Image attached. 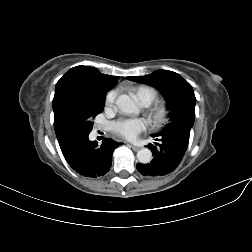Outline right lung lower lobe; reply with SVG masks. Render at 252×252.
<instances>
[{
    "instance_id": "right-lung-lower-lobe-1",
    "label": "right lung lower lobe",
    "mask_w": 252,
    "mask_h": 252,
    "mask_svg": "<svg viewBox=\"0 0 252 252\" xmlns=\"http://www.w3.org/2000/svg\"><path fill=\"white\" fill-rule=\"evenodd\" d=\"M89 134H69L59 141L61 151L68 164L80 175L90 178L104 176L111 168L112 154L121 145L104 139L101 145L89 141Z\"/></svg>"
}]
</instances>
